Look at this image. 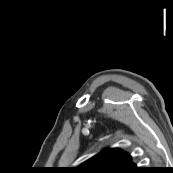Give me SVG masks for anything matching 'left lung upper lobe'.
<instances>
[{"label": "left lung upper lobe", "mask_w": 173, "mask_h": 173, "mask_svg": "<svg viewBox=\"0 0 173 173\" xmlns=\"http://www.w3.org/2000/svg\"><path fill=\"white\" fill-rule=\"evenodd\" d=\"M131 156L118 148L106 149L77 167V173H139Z\"/></svg>", "instance_id": "left-lung-upper-lobe-1"}]
</instances>
